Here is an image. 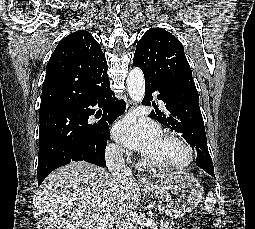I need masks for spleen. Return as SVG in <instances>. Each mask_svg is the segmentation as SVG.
Instances as JSON below:
<instances>
[{
    "instance_id": "spleen-1",
    "label": "spleen",
    "mask_w": 255,
    "mask_h": 229,
    "mask_svg": "<svg viewBox=\"0 0 255 229\" xmlns=\"http://www.w3.org/2000/svg\"><path fill=\"white\" fill-rule=\"evenodd\" d=\"M214 194L213 192H209L207 194V197H206V200H205V210L208 212V213H212L214 211V208H215V204H214Z\"/></svg>"
}]
</instances>
